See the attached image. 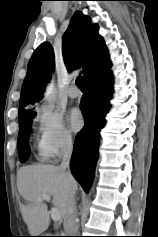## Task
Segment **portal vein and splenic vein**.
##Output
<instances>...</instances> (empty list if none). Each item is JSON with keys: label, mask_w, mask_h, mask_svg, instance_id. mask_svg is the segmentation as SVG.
Masks as SVG:
<instances>
[{"label": "portal vein and splenic vein", "mask_w": 158, "mask_h": 237, "mask_svg": "<svg viewBox=\"0 0 158 237\" xmlns=\"http://www.w3.org/2000/svg\"><path fill=\"white\" fill-rule=\"evenodd\" d=\"M42 200L50 201L51 197L47 194H43L37 198V201L40 202ZM51 218L54 221H59L61 219V214L58 209L52 208L51 210Z\"/></svg>", "instance_id": "portal-vein-and-splenic-vein-1"}]
</instances>
